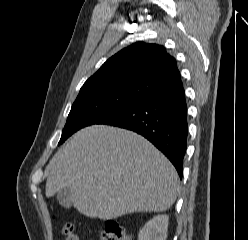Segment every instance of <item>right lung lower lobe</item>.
I'll list each match as a JSON object with an SVG mask.
<instances>
[{"instance_id":"obj_1","label":"right lung lower lobe","mask_w":248,"mask_h":240,"mask_svg":"<svg viewBox=\"0 0 248 240\" xmlns=\"http://www.w3.org/2000/svg\"><path fill=\"white\" fill-rule=\"evenodd\" d=\"M96 124L117 126L141 134L172 162L182 178L188 136L187 105L182 84L138 99Z\"/></svg>"}]
</instances>
